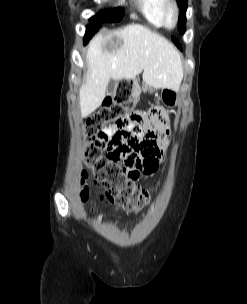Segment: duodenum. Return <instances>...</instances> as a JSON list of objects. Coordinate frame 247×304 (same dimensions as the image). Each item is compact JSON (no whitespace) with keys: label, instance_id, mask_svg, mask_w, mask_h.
Wrapping results in <instances>:
<instances>
[{"label":"duodenum","instance_id":"1","mask_svg":"<svg viewBox=\"0 0 247 304\" xmlns=\"http://www.w3.org/2000/svg\"><path fill=\"white\" fill-rule=\"evenodd\" d=\"M129 83H130V87L135 88L136 90L138 89L139 86H144L145 85L144 81H138L137 82L136 79H131Z\"/></svg>","mask_w":247,"mask_h":304}]
</instances>
